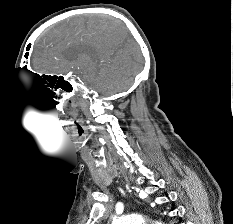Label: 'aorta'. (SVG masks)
Instances as JSON below:
<instances>
[{"mask_svg": "<svg viewBox=\"0 0 233 224\" xmlns=\"http://www.w3.org/2000/svg\"><path fill=\"white\" fill-rule=\"evenodd\" d=\"M112 224H146V222L141 215L131 214V215L114 218ZM155 224H162V223L156 221Z\"/></svg>", "mask_w": 233, "mask_h": 224, "instance_id": "obj_1", "label": "aorta"}]
</instances>
